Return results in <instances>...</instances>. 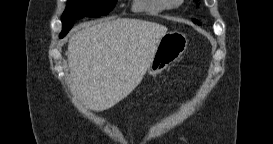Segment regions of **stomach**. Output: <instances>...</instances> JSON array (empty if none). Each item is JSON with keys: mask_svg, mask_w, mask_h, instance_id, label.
<instances>
[{"mask_svg": "<svg viewBox=\"0 0 273 144\" xmlns=\"http://www.w3.org/2000/svg\"><path fill=\"white\" fill-rule=\"evenodd\" d=\"M187 45L188 40L185 34L179 31L167 32L157 45L147 73L151 76L160 74L182 56Z\"/></svg>", "mask_w": 273, "mask_h": 144, "instance_id": "obj_1", "label": "stomach"}]
</instances>
